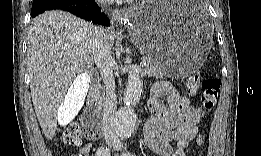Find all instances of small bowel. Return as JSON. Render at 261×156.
Listing matches in <instances>:
<instances>
[{
    "label": "small bowel",
    "instance_id": "1",
    "mask_svg": "<svg viewBox=\"0 0 261 156\" xmlns=\"http://www.w3.org/2000/svg\"><path fill=\"white\" fill-rule=\"evenodd\" d=\"M163 96L166 97V105L160 101ZM149 108L153 115L145 126L148 150L161 156H186L190 141L195 138L202 123L203 110L192 106L189 99L181 96L167 81H159L153 86ZM91 149V143L84 144L80 155L88 156Z\"/></svg>",
    "mask_w": 261,
    "mask_h": 156
}]
</instances>
